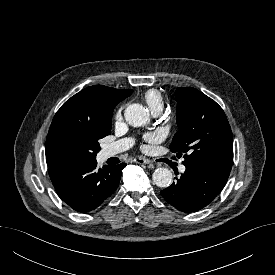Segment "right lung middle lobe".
Returning a JSON list of instances; mask_svg holds the SVG:
<instances>
[{
	"instance_id": "1",
	"label": "right lung middle lobe",
	"mask_w": 275,
	"mask_h": 275,
	"mask_svg": "<svg viewBox=\"0 0 275 275\" xmlns=\"http://www.w3.org/2000/svg\"><path fill=\"white\" fill-rule=\"evenodd\" d=\"M111 133V123L102 128L65 127L52 137L47 157L52 165L85 164L96 160L99 140Z\"/></svg>"
}]
</instances>
